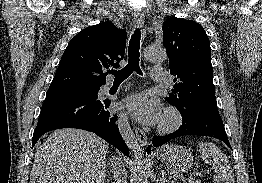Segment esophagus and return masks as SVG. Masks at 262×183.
Returning a JSON list of instances; mask_svg holds the SVG:
<instances>
[{
	"label": "esophagus",
	"mask_w": 262,
	"mask_h": 183,
	"mask_svg": "<svg viewBox=\"0 0 262 183\" xmlns=\"http://www.w3.org/2000/svg\"><path fill=\"white\" fill-rule=\"evenodd\" d=\"M134 19H135V22L136 24L141 27V30H142V36L143 38L145 37V28H144V22H145V19H144V14L143 12L141 11H137L134 13ZM135 133H136V137L139 141V143L141 145H145L147 143V136L146 134L138 127L135 128Z\"/></svg>",
	"instance_id": "obj_1"
}]
</instances>
